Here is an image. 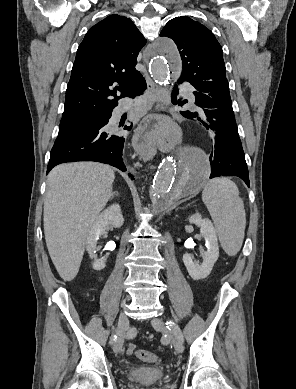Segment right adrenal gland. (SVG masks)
I'll return each mask as SVG.
<instances>
[{"label":"right adrenal gland","mask_w":296,"mask_h":389,"mask_svg":"<svg viewBox=\"0 0 296 389\" xmlns=\"http://www.w3.org/2000/svg\"><path fill=\"white\" fill-rule=\"evenodd\" d=\"M114 196H119V193H118L117 191H114V192L112 193V195H111V199H113Z\"/></svg>","instance_id":"1"}]
</instances>
